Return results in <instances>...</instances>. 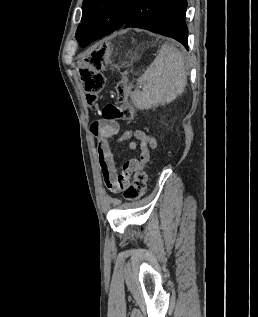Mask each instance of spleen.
Listing matches in <instances>:
<instances>
[{
	"label": "spleen",
	"mask_w": 258,
	"mask_h": 317,
	"mask_svg": "<svg viewBox=\"0 0 258 317\" xmlns=\"http://www.w3.org/2000/svg\"><path fill=\"white\" fill-rule=\"evenodd\" d=\"M187 74L184 56L175 44H162L159 54L138 78L142 90H133L132 102L144 110L154 104H167L182 94Z\"/></svg>",
	"instance_id": "spleen-1"
}]
</instances>
